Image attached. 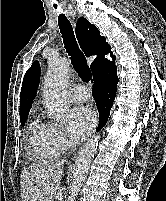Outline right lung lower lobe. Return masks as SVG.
Listing matches in <instances>:
<instances>
[{
    "instance_id": "right-lung-lower-lobe-1",
    "label": "right lung lower lobe",
    "mask_w": 166,
    "mask_h": 201,
    "mask_svg": "<svg viewBox=\"0 0 166 201\" xmlns=\"http://www.w3.org/2000/svg\"><path fill=\"white\" fill-rule=\"evenodd\" d=\"M93 77L95 81L93 96L100 116V122L97 128V131H99L108 120L110 109L116 95L118 77L115 63H106Z\"/></svg>"
}]
</instances>
